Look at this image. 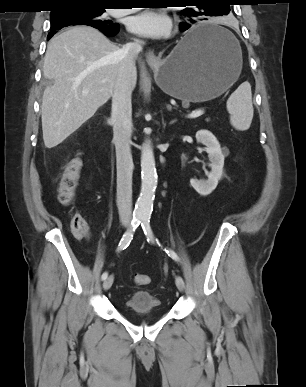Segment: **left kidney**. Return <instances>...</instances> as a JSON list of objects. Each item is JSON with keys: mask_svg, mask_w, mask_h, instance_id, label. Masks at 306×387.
I'll use <instances>...</instances> for the list:
<instances>
[{"mask_svg": "<svg viewBox=\"0 0 306 387\" xmlns=\"http://www.w3.org/2000/svg\"><path fill=\"white\" fill-rule=\"evenodd\" d=\"M197 142L205 145V151L210 160L211 171L207 180L191 179V186L202 196L209 195L218 185L223 173L224 155L216 137L208 130H199L196 133Z\"/></svg>", "mask_w": 306, "mask_h": 387, "instance_id": "5707ae66", "label": "left kidney"}]
</instances>
